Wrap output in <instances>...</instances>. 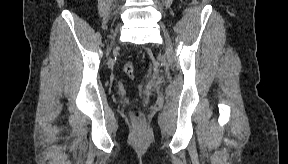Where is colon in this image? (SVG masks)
<instances>
[{
  "label": "colon",
  "mask_w": 288,
  "mask_h": 164,
  "mask_svg": "<svg viewBox=\"0 0 288 164\" xmlns=\"http://www.w3.org/2000/svg\"><path fill=\"white\" fill-rule=\"evenodd\" d=\"M123 70L125 72V74L130 78L133 79L135 76V68L133 63L131 62H127L124 64L123 66ZM131 113L133 116H135V120H140L141 118L139 117L140 115V111L139 108L136 105H131L130 107Z\"/></svg>",
  "instance_id": "1"
}]
</instances>
